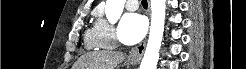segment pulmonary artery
Returning <instances> with one entry per match:
<instances>
[{"instance_id": "1", "label": "pulmonary artery", "mask_w": 246, "mask_h": 69, "mask_svg": "<svg viewBox=\"0 0 246 69\" xmlns=\"http://www.w3.org/2000/svg\"><path fill=\"white\" fill-rule=\"evenodd\" d=\"M125 6L128 10L133 11V10H136L138 8V2L135 0H128V1H126Z\"/></svg>"}]
</instances>
